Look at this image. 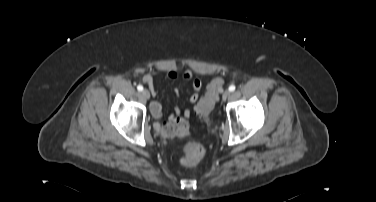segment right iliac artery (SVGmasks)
Listing matches in <instances>:
<instances>
[{"label":"right iliac artery","mask_w":376,"mask_h":202,"mask_svg":"<svg viewBox=\"0 0 376 202\" xmlns=\"http://www.w3.org/2000/svg\"><path fill=\"white\" fill-rule=\"evenodd\" d=\"M137 89H138V91H142L143 90V86L142 85H138Z\"/></svg>","instance_id":"right-iliac-artery-1"}]
</instances>
